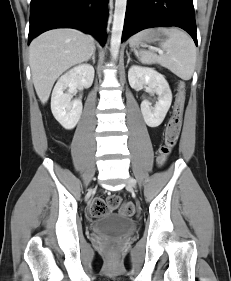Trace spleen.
Listing matches in <instances>:
<instances>
[{"instance_id": "3e777b00", "label": "spleen", "mask_w": 231, "mask_h": 281, "mask_svg": "<svg viewBox=\"0 0 231 281\" xmlns=\"http://www.w3.org/2000/svg\"><path fill=\"white\" fill-rule=\"evenodd\" d=\"M167 39L160 44L165 54H155L152 51L140 50L136 52L142 63H158L169 69L172 73L183 80L191 79L196 64V47L191 37L177 28H158ZM146 32H155L147 30ZM138 37L135 35L129 41L131 47L138 46Z\"/></svg>"}]
</instances>
